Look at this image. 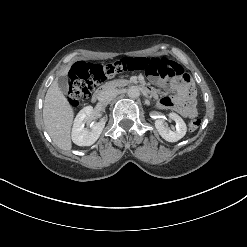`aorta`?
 I'll use <instances>...</instances> for the list:
<instances>
[{
	"mask_svg": "<svg viewBox=\"0 0 247 247\" xmlns=\"http://www.w3.org/2000/svg\"><path fill=\"white\" fill-rule=\"evenodd\" d=\"M127 95L132 99L138 98L140 96V90L136 86H131L127 89Z\"/></svg>",
	"mask_w": 247,
	"mask_h": 247,
	"instance_id": "aorta-1",
	"label": "aorta"
}]
</instances>
